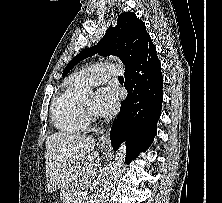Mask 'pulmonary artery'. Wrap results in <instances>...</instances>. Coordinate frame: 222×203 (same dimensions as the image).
<instances>
[{"label": "pulmonary artery", "mask_w": 222, "mask_h": 203, "mask_svg": "<svg viewBox=\"0 0 222 203\" xmlns=\"http://www.w3.org/2000/svg\"><path fill=\"white\" fill-rule=\"evenodd\" d=\"M123 68L112 63H100L80 70L73 75L78 83L84 85H98L114 76H122Z\"/></svg>", "instance_id": "1"}]
</instances>
